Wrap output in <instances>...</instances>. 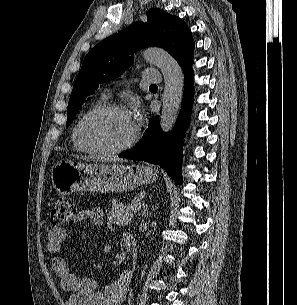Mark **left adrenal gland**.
I'll return each instance as SVG.
<instances>
[{"label":"left adrenal gland","mask_w":297,"mask_h":305,"mask_svg":"<svg viewBox=\"0 0 297 305\" xmlns=\"http://www.w3.org/2000/svg\"><path fill=\"white\" fill-rule=\"evenodd\" d=\"M143 212H142V217L144 218L148 214V205L145 204V201H143Z\"/></svg>","instance_id":"obj_1"}]
</instances>
